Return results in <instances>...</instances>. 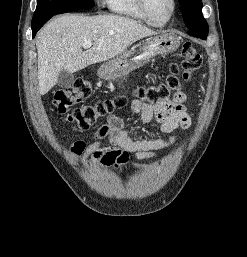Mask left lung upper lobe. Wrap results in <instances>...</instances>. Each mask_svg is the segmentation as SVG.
<instances>
[{"instance_id":"left-lung-upper-lobe-1","label":"left lung upper lobe","mask_w":247,"mask_h":257,"mask_svg":"<svg viewBox=\"0 0 247 257\" xmlns=\"http://www.w3.org/2000/svg\"><path fill=\"white\" fill-rule=\"evenodd\" d=\"M183 20L190 31L208 34V24L202 15L201 0H179ZM189 32V31H188Z\"/></svg>"}]
</instances>
